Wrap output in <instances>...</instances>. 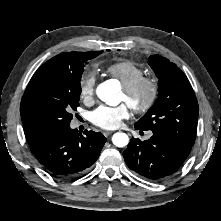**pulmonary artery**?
Instances as JSON below:
<instances>
[{"mask_svg": "<svg viewBox=\"0 0 221 221\" xmlns=\"http://www.w3.org/2000/svg\"><path fill=\"white\" fill-rule=\"evenodd\" d=\"M151 136H152V133H149V134H148V137H151Z\"/></svg>", "mask_w": 221, "mask_h": 221, "instance_id": "e3ab8cb5", "label": "pulmonary artery"}]
</instances>
